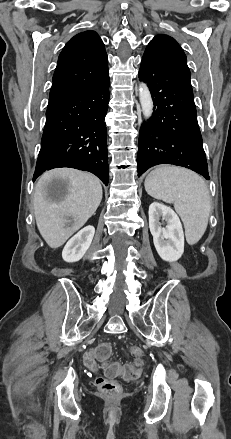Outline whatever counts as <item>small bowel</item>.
Segmentation results:
<instances>
[{
    "instance_id": "1",
    "label": "small bowel",
    "mask_w": 231,
    "mask_h": 439,
    "mask_svg": "<svg viewBox=\"0 0 231 439\" xmlns=\"http://www.w3.org/2000/svg\"><path fill=\"white\" fill-rule=\"evenodd\" d=\"M96 349H91L88 352H86L84 355V363L90 369H95L97 366L95 359Z\"/></svg>"
}]
</instances>
